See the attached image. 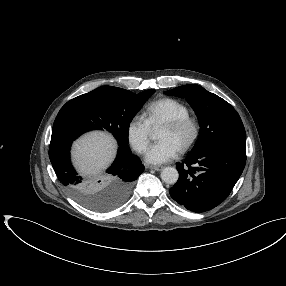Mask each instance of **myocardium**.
<instances>
[{
    "mask_svg": "<svg viewBox=\"0 0 286 286\" xmlns=\"http://www.w3.org/2000/svg\"><path fill=\"white\" fill-rule=\"evenodd\" d=\"M163 127H168L172 129H183L189 128L190 135L188 139L181 146L180 150L185 152L193 147V145L197 142L200 132L201 126L199 120L191 115L171 119L163 124Z\"/></svg>",
    "mask_w": 286,
    "mask_h": 286,
    "instance_id": "obj_1",
    "label": "myocardium"
}]
</instances>
